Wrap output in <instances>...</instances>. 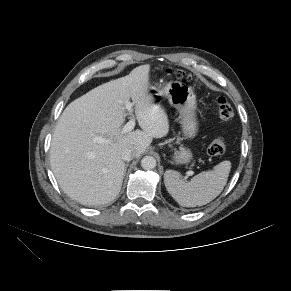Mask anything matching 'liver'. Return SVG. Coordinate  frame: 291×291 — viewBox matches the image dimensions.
<instances>
[{"label": "liver", "instance_id": "liver-1", "mask_svg": "<svg viewBox=\"0 0 291 291\" xmlns=\"http://www.w3.org/2000/svg\"><path fill=\"white\" fill-rule=\"evenodd\" d=\"M150 65H141L129 75L104 83L71 102L54 131L50 163L61 189L83 205L105 204L121 190L125 149L139 157L153 138L169 132L167 114L149 94ZM132 99L142 130L122 133L126 103ZM102 137L104 143L94 141Z\"/></svg>", "mask_w": 291, "mask_h": 291}]
</instances>
